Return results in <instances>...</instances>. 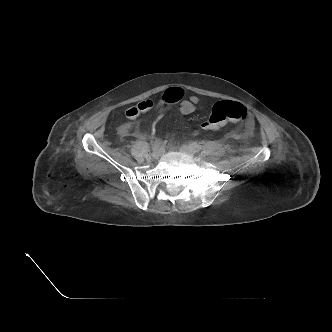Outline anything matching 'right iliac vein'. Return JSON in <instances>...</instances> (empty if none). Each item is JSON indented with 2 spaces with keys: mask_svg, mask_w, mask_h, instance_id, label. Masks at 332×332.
<instances>
[{
  "mask_svg": "<svg viewBox=\"0 0 332 332\" xmlns=\"http://www.w3.org/2000/svg\"><path fill=\"white\" fill-rule=\"evenodd\" d=\"M161 155V149H156V150H154L153 151V153H152V157L154 158V159H157V158H159V156Z\"/></svg>",
  "mask_w": 332,
  "mask_h": 332,
  "instance_id": "obj_1",
  "label": "right iliac vein"
}]
</instances>
